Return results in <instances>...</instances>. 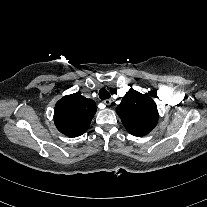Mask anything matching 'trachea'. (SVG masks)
Masks as SVG:
<instances>
[{
	"label": "trachea",
	"instance_id": "1",
	"mask_svg": "<svg viewBox=\"0 0 207 207\" xmlns=\"http://www.w3.org/2000/svg\"><path fill=\"white\" fill-rule=\"evenodd\" d=\"M99 97L101 100L108 99L110 98V93L106 89L102 88L99 91Z\"/></svg>",
	"mask_w": 207,
	"mask_h": 207
}]
</instances>
